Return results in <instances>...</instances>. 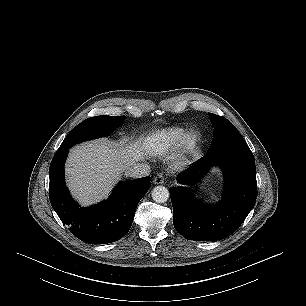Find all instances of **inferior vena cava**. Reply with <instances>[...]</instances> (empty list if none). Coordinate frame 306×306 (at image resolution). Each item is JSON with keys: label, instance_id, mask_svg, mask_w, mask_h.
Wrapping results in <instances>:
<instances>
[{"label": "inferior vena cava", "instance_id": "obj_1", "mask_svg": "<svg viewBox=\"0 0 306 306\" xmlns=\"http://www.w3.org/2000/svg\"><path fill=\"white\" fill-rule=\"evenodd\" d=\"M150 166L144 163H136L130 167L126 174L133 178L145 177L150 174Z\"/></svg>", "mask_w": 306, "mask_h": 306}]
</instances>
